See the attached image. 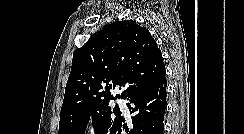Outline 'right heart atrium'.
I'll use <instances>...</instances> for the list:
<instances>
[{
    "mask_svg": "<svg viewBox=\"0 0 244 134\" xmlns=\"http://www.w3.org/2000/svg\"><path fill=\"white\" fill-rule=\"evenodd\" d=\"M86 134H98V128L96 124L90 123L86 128Z\"/></svg>",
    "mask_w": 244,
    "mask_h": 134,
    "instance_id": "d8ad5b80",
    "label": "right heart atrium"
}]
</instances>
